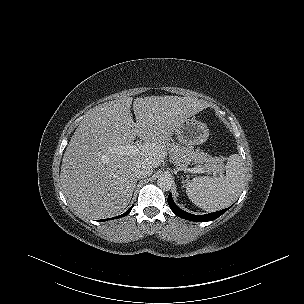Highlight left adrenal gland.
Returning a JSON list of instances; mask_svg holds the SVG:
<instances>
[{
  "mask_svg": "<svg viewBox=\"0 0 304 304\" xmlns=\"http://www.w3.org/2000/svg\"><path fill=\"white\" fill-rule=\"evenodd\" d=\"M182 183H183V187H184V184H185V180H184V177L182 176Z\"/></svg>",
  "mask_w": 304,
  "mask_h": 304,
  "instance_id": "obj_1",
  "label": "left adrenal gland"
}]
</instances>
